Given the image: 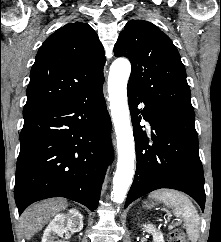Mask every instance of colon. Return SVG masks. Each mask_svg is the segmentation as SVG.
I'll return each instance as SVG.
<instances>
[{
	"instance_id": "1",
	"label": "colon",
	"mask_w": 221,
	"mask_h": 242,
	"mask_svg": "<svg viewBox=\"0 0 221 242\" xmlns=\"http://www.w3.org/2000/svg\"><path fill=\"white\" fill-rule=\"evenodd\" d=\"M170 242H188L184 230L180 228L174 229L170 235Z\"/></svg>"
}]
</instances>
